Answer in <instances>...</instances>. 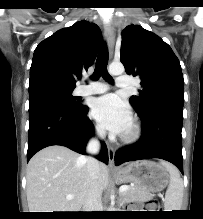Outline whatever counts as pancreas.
Here are the masks:
<instances>
[{"label":"pancreas","instance_id":"obj_1","mask_svg":"<svg viewBox=\"0 0 203 219\" xmlns=\"http://www.w3.org/2000/svg\"><path fill=\"white\" fill-rule=\"evenodd\" d=\"M152 197V194L147 193L137 186H129L128 190L124 191L121 195L123 202L145 201L150 200Z\"/></svg>","mask_w":203,"mask_h":219}]
</instances>
